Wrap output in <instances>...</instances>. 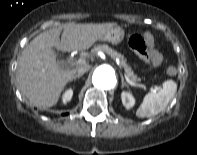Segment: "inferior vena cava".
Here are the masks:
<instances>
[{
	"mask_svg": "<svg viewBox=\"0 0 197 155\" xmlns=\"http://www.w3.org/2000/svg\"><path fill=\"white\" fill-rule=\"evenodd\" d=\"M89 69H90L89 65H83V66L79 67L76 71H77L78 75H83Z\"/></svg>",
	"mask_w": 197,
	"mask_h": 155,
	"instance_id": "602c4592",
	"label": "inferior vena cava"
}]
</instances>
